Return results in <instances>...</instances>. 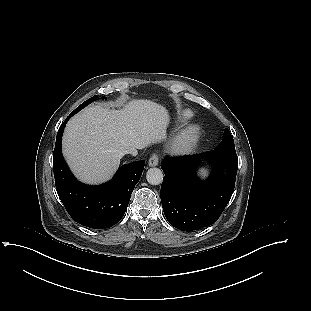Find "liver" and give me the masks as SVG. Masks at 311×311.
I'll return each instance as SVG.
<instances>
[{"mask_svg": "<svg viewBox=\"0 0 311 311\" xmlns=\"http://www.w3.org/2000/svg\"><path fill=\"white\" fill-rule=\"evenodd\" d=\"M170 116L150 100H132L122 110L86 107L67 123L62 148L74 174L90 184L116 172L125 154L166 138Z\"/></svg>", "mask_w": 311, "mask_h": 311, "instance_id": "1", "label": "liver"}]
</instances>
